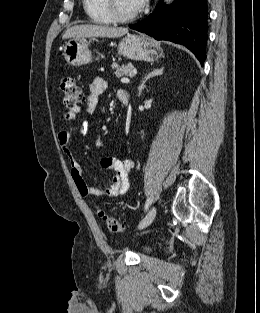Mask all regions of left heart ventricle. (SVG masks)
Here are the masks:
<instances>
[{
  "label": "left heart ventricle",
  "mask_w": 260,
  "mask_h": 313,
  "mask_svg": "<svg viewBox=\"0 0 260 313\" xmlns=\"http://www.w3.org/2000/svg\"><path fill=\"white\" fill-rule=\"evenodd\" d=\"M115 7L121 15H129L137 11L135 0H115Z\"/></svg>",
  "instance_id": "left-heart-ventricle-1"
}]
</instances>
